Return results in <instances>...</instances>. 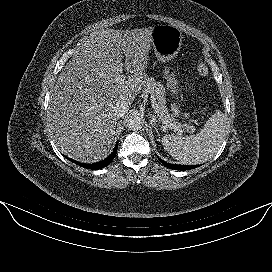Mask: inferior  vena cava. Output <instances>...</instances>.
<instances>
[{
	"mask_svg": "<svg viewBox=\"0 0 272 272\" xmlns=\"http://www.w3.org/2000/svg\"><path fill=\"white\" fill-rule=\"evenodd\" d=\"M129 110V105L123 101H117L114 104L113 112L117 118L124 116Z\"/></svg>",
	"mask_w": 272,
	"mask_h": 272,
	"instance_id": "602c4592",
	"label": "inferior vena cava"
}]
</instances>
